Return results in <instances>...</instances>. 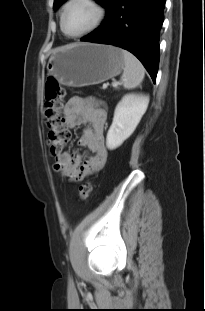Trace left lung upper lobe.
Segmentation results:
<instances>
[{
    "label": "left lung upper lobe",
    "mask_w": 205,
    "mask_h": 311,
    "mask_svg": "<svg viewBox=\"0 0 205 311\" xmlns=\"http://www.w3.org/2000/svg\"><path fill=\"white\" fill-rule=\"evenodd\" d=\"M66 0H54V9L58 8L61 4H63ZM99 4L107 9V14L109 13L111 6L114 0H96Z\"/></svg>",
    "instance_id": "left-lung-upper-lobe-1"
}]
</instances>
